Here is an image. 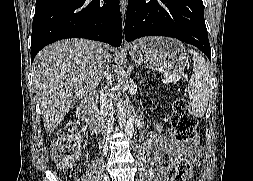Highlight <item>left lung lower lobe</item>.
<instances>
[{
  "label": "left lung lower lobe",
  "instance_id": "obj_1",
  "mask_svg": "<svg viewBox=\"0 0 253 181\" xmlns=\"http://www.w3.org/2000/svg\"><path fill=\"white\" fill-rule=\"evenodd\" d=\"M167 36L194 45L211 60L202 0H129L125 39Z\"/></svg>",
  "mask_w": 253,
  "mask_h": 181
}]
</instances>
